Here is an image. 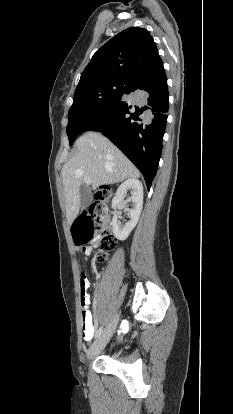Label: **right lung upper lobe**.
I'll list each match as a JSON object with an SVG mask.
<instances>
[{
	"instance_id": "cb5924a9",
	"label": "right lung upper lobe",
	"mask_w": 233,
	"mask_h": 414,
	"mask_svg": "<svg viewBox=\"0 0 233 414\" xmlns=\"http://www.w3.org/2000/svg\"><path fill=\"white\" fill-rule=\"evenodd\" d=\"M163 62L150 33L131 27L117 34L93 55L75 92L103 80L135 81L162 71Z\"/></svg>"
}]
</instances>
